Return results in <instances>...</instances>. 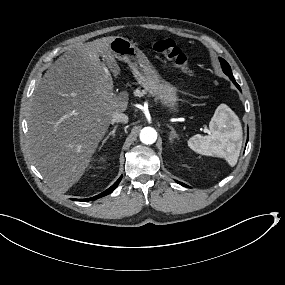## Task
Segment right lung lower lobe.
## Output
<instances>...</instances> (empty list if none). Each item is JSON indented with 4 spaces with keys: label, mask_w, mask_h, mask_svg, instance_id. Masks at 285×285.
Instances as JSON below:
<instances>
[{
    "label": "right lung lower lobe",
    "mask_w": 285,
    "mask_h": 285,
    "mask_svg": "<svg viewBox=\"0 0 285 285\" xmlns=\"http://www.w3.org/2000/svg\"><path fill=\"white\" fill-rule=\"evenodd\" d=\"M121 179H122V176H120V178L110 188H108L107 190H105L104 192H102L99 195H96V196H94L92 198L74 199V200H77V201H91V200H95V199H98L100 197L106 196V195L110 194L111 192H113L117 188V186H118L119 182L121 181Z\"/></svg>",
    "instance_id": "98d812e1"
}]
</instances>
